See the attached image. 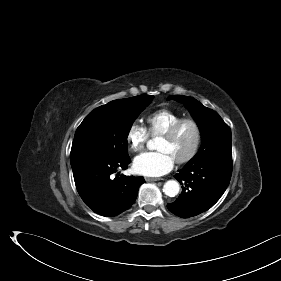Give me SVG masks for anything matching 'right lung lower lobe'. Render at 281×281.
Wrapping results in <instances>:
<instances>
[{
  "mask_svg": "<svg viewBox=\"0 0 281 281\" xmlns=\"http://www.w3.org/2000/svg\"><path fill=\"white\" fill-rule=\"evenodd\" d=\"M130 162L128 156L118 161L92 160L72 166L77 191L95 213L105 217L115 216L135 202L144 178L112 176L117 169L125 170Z\"/></svg>",
  "mask_w": 281,
  "mask_h": 281,
  "instance_id": "obj_1",
  "label": "right lung lower lobe"
}]
</instances>
